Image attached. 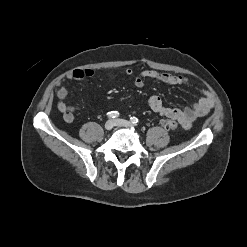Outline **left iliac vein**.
Here are the masks:
<instances>
[{
    "instance_id": "obj_1",
    "label": "left iliac vein",
    "mask_w": 247,
    "mask_h": 247,
    "mask_svg": "<svg viewBox=\"0 0 247 247\" xmlns=\"http://www.w3.org/2000/svg\"><path fill=\"white\" fill-rule=\"evenodd\" d=\"M115 126L118 127H126V128H130L133 127V124L130 121L124 120V119H116L114 121Z\"/></svg>"
}]
</instances>
